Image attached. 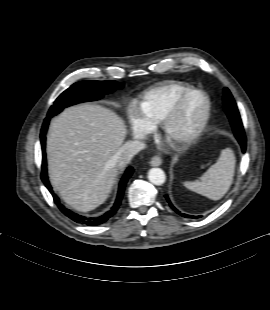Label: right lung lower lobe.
I'll use <instances>...</instances> for the list:
<instances>
[{
  "label": "right lung lower lobe",
  "mask_w": 270,
  "mask_h": 310,
  "mask_svg": "<svg viewBox=\"0 0 270 310\" xmlns=\"http://www.w3.org/2000/svg\"><path fill=\"white\" fill-rule=\"evenodd\" d=\"M49 120H50V117H46V119L44 120L42 129H41V134H40L42 152H43L42 174H41L42 181L44 182L45 186L48 188V190L52 194L54 202L57 204L59 209L66 216H68L70 219H72L73 221H75L77 223L85 224V225H100V224L106 222L109 218L114 216L115 213L117 212V210L119 209V206L121 204V200L123 197V193L125 190L126 183H127L128 179L130 178V176L132 175L134 169L132 167H129L126 170L122 180L120 181L118 195H117V198H116L114 205L111 207V209L109 211H107L103 215H101L99 217H94V218H92V217L87 218L85 216L78 215V214L66 209L63 205L60 204L59 198L54 194L52 187L49 183L48 176H47L46 158H45V140H46L45 134H46V131L48 128Z\"/></svg>",
  "instance_id": "right-lung-lower-lobe-1"
}]
</instances>
